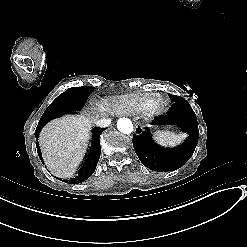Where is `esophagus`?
Returning <instances> with one entry per match:
<instances>
[{"instance_id":"obj_1","label":"esophagus","mask_w":247,"mask_h":247,"mask_svg":"<svg viewBox=\"0 0 247 247\" xmlns=\"http://www.w3.org/2000/svg\"><path fill=\"white\" fill-rule=\"evenodd\" d=\"M140 132H141V129H140V131L137 133V135H139V134H140Z\"/></svg>"}]
</instances>
